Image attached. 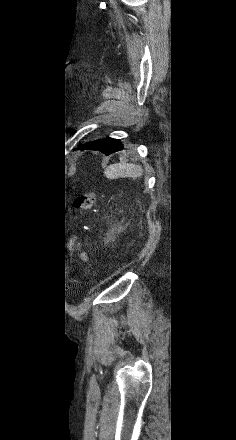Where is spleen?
Listing matches in <instances>:
<instances>
[{"instance_id": "3e777b00", "label": "spleen", "mask_w": 236, "mask_h": 440, "mask_svg": "<svg viewBox=\"0 0 236 440\" xmlns=\"http://www.w3.org/2000/svg\"><path fill=\"white\" fill-rule=\"evenodd\" d=\"M143 174V170L139 165L131 163H118L107 167L105 175L109 179H116L119 177H139Z\"/></svg>"}]
</instances>
